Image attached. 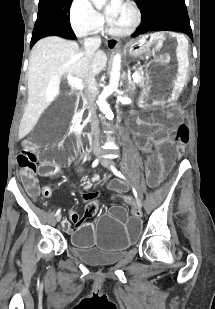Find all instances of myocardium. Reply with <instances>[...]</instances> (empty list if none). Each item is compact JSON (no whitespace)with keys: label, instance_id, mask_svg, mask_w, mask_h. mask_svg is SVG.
<instances>
[{"label":"myocardium","instance_id":"f54148a6","mask_svg":"<svg viewBox=\"0 0 215 309\" xmlns=\"http://www.w3.org/2000/svg\"><path fill=\"white\" fill-rule=\"evenodd\" d=\"M124 9L130 12L128 19L130 23H117L113 19H107L102 24L103 30H108L109 34H117L118 38H129L130 30H136V27L140 25L139 12L131 6H124Z\"/></svg>","mask_w":215,"mask_h":309}]
</instances>
